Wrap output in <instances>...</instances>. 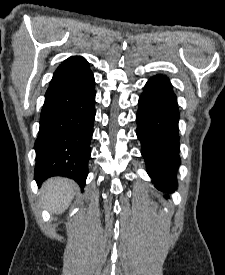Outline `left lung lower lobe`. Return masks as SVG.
I'll return each instance as SVG.
<instances>
[{"label": "left lung lower lobe", "instance_id": "obj_1", "mask_svg": "<svg viewBox=\"0 0 225 275\" xmlns=\"http://www.w3.org/2000/svg\"><path fill=\"white\" fill-rule=\"evenodd\" d=\"M136 116L141 154L156 188L173 192L177 186L179 158L177 98L169 79L158 74L146 83Z\"/></svg>", "mask_w": 225, "mask_h": 275}]
</instances>
